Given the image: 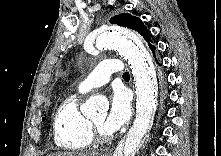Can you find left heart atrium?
I'll list each match as a JSON object with an SVG mask.
<instances>
[{"mask_svg":"<svg viewBox=\"0 0 221 156\" xmlns=\"http://www.w3.org/2000/svg\"><path fill=\"white\" fill-rule=\"evenodd\" d=\"M131 116L130 98L123 89H114L110 97V108L104 120L103 128L108 133L118 131Z\"/></svg>","mask_w":221,"mask_h":156,"instance_id":"39dd6f15","label":"left heart atrium"}]
</instances>
